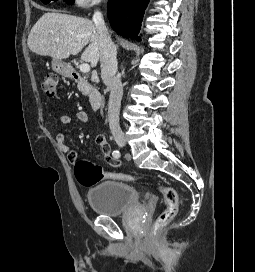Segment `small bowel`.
Masks as SVG:
<instances>
[{
    "label": "small bowel",
    "instance_id": "1",
    "mask_svg": "<svg viewBox=\"0 0 255 272\" xmlns=\"http://www.w3.org/2000/svg\"><path fill=\"white\" fill-rule=\"evenodd\" d=\"M76 118L81 124H86L88 122V114L85 111H78L76 113ZM59 121L63 125H69L72 122V118L69 115H61L59 117ZM55 139L60 150L67 156L68 160L71 162H75L77 159V153L65 143L66 134L64 132H60L56 135ZM95 141L97 145L101 148L104 160L114 168L119 167L118 160L114 158V156H112L113 154H111V147L105 135L98 134L95 137Z\"/></svg>",
    "mask_w": 255,
    "mask_h": 272
}]
</instances>
